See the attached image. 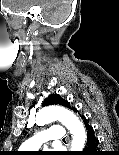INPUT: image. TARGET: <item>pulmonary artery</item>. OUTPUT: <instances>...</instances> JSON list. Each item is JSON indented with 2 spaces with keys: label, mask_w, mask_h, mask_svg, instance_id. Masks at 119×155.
<instances>
[{
  "label": "pulmonary artery",
  "mask_w": 119,
  "mask_h": 155,
  "mask_svg": "<svg viewBox=\"0 0 119 155\" xmlns=\"http://www.w3.org/2000/svg\"><path fill=\"white\" fill-rule=\"evenodd\" d=\"M65 137V130L61 126L45 129L22 144L23 150H38L44 143L59 142Z\"/></svg>",
  "instance_id": "e3ab8cb5"
}]
</instances>
